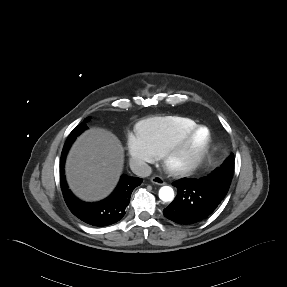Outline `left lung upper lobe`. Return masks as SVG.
<instances>
[{"label":"left lung upper lobe","instance_id":"1","mask_svg":"<svg viewBox=\"0 0 287 287\" xmlns=\"http://www.w3.org/2000/svg\"><path fill=\"white\" fill-rule=\"evenodd\" d=\"M233 167H234V155L231 154V155L226 159V161L223 163V165H222L220 168L225 169V170H226V173H227L228 175H230L231 178H232Z\"/></svg>","mask_w":287,"mask_h":287}]
</instances>
